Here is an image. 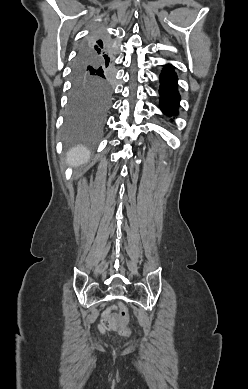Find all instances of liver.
I'll return each instance as SVG.
<instances>
[{
	"label": "liver",
	"mask_w": 248,
	"mask_h": 389,
	"mask_svg": "<svg viewBox=\"0 0 248 389\" xmlns=\"http://www.w3.org/2000/svg\"><path fill=\"white\" fill-rule=\"evenodd\" d=\"M90 157V153L87 149L82 146H78L73 148L67 154V162L69 165L80 166L88 161Z\"/></svg>",
	"instance_id": "1"
}]
</instances>
